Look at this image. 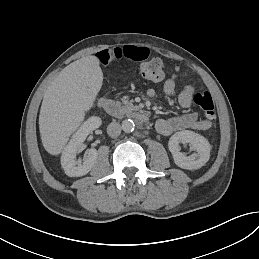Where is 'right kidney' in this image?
Returning a JSON list of instances; mask_svg holds the SVG:
<instances>
[{"label":"right kidney","mask_w":259,"mask_h":259,"mask_svg":"<svg viewBox=\"0 0 259 259\" xmlns=\"http://www.w3.org/2000/svg\"><path fill=\"white\" fill-rule=\"evenodd\" d=\"M101 120L97 117H92L86 121L81 129L74 135L72 141L67 146L62 155V166L65 173L69 177H82L87 175L96 164L98 152L95 148L87 149V158L83 161V165L80 166L81 160H76V153L80 147L84 145V140L87 135L94 129L100 126Z\"/></svg>","instance_id":"ca27d5eb"}]
</instances>
